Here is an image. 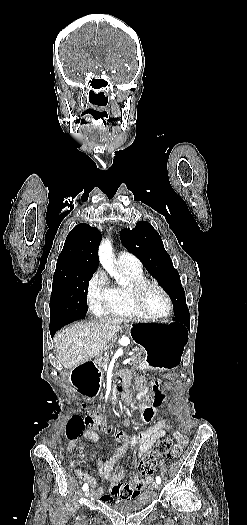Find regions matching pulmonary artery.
<instances>
[{
  "instance_id": "e3ab8cb5",
  "label": "pulmonary artery",
  "mask_w": 247,
  "mask_h": 525,
  "mask_svg": "<svg viewBox=\"0 0 247 525\" xmlns=\"http://www.w3.org/2000/svg\"><path fill=\"white\" fill-rule=\"evenodd\" d=\"M129 255L130 253H128L127 251H121L119 252L118 257L124 260H129Z\"/></svg>"
}]
</instances>
